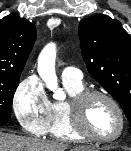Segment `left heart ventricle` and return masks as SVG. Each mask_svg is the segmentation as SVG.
Listing matches in <instances>:
<instances>
[{
    "mask_svg": "<svg viewBox=\"0 0 131 151\" xmlns=\"http://www.w3.org/2000/svg\"><path fill=\"white\" fill-rule=\"evenodd\" d=\"M87 125L91 132L101 137L114 136L120 126L114 107L103 98H94L88 106Z\"/></svg>",
    "mask_w": 131,
    "mask_h": 151,
    "instance_id": "1",
    "label": "left heart ventricle"
}]
</instances>
